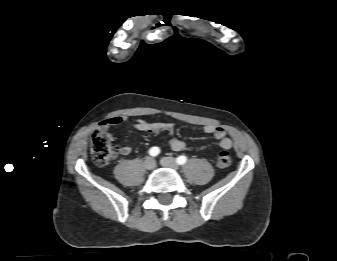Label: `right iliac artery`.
<instances>
[{
    "label": "right iliac artery",
    "mask_w": 337,
    "mask_h": 261,
    "mask_svg": "<svg viewBox=\"0 0 337 261\" xmlns=\"http://www.w3.org/2000/svg\"><path fill=\"white\" fill-rule=\"evenodd\" d=\"M160 153V149L158 147H152L149 150V154L153 157L157 156Z\"/></svg>",
    "instance_id": "82829eb1"
}]
</instances>
